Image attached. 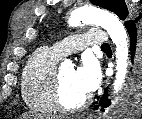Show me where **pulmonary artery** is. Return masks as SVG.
<instances>
[{"instance_id":"obj_1","label":"pulmonary artery","mask_w":142,"mask_h":119,"mask_svg":"<svg viewBox=\"0 0 142 119\" xmlns=\"http://www.w3.org/2000/svg\"><path fill=\"white\" fill-rule=\"evenodd\" d=\"M108 43L104 30L93 28L87 32L65 38L53 44V50L60 56L78 53L87 46H102Z\"/></svg>"}]
</instances>
